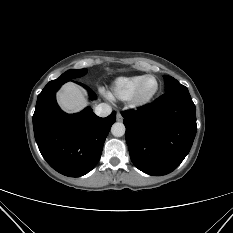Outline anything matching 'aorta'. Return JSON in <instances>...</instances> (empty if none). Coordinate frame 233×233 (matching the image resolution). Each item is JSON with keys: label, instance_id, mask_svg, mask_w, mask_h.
<instances>
[{"label": "aorta", "instance_id": "1", "mask_svg": "<svg viewBox=\"0 0 233 233\" xmlns=\"http://www.w3.org/2000/svg\"><path fill=\"white\" fill-rule=\"evenodd\" d=\"M111 133L115 137H121L125 134V126L121 122L114 123L111 127Z\"/></svg>", "mask_w": 233, "mask_h": 233}]
</instances>
